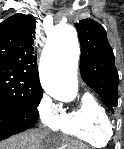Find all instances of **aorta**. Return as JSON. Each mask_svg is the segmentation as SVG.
<instances>
[{
  "label": "aorta",
  "instance_id": "obj_1",
  "mask_svg": "<svg viewBox=\"0 0 124 149\" xmlns=\"http://www.w3.org/2000/svg\"><path fill=\"white\" fill-rule=\"evenodd\" d=\"M78 59L75 28L70 24L57 25L54 38L45 48L40 63V81L47 94L64 102L75 99L78 93Z\"/></svg>",
  "mask_w": 124,
  "mask_h": 149
}]
</instances>
